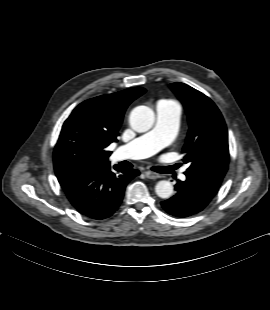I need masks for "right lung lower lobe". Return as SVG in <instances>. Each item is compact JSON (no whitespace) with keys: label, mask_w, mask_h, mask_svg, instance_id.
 Segmentation results:
<instances>
[{"label":"right lung lower lobe","mask_w":270,"mask_h":310,"mask_svg":"<svg viewBox=\"0 0 270 310\" xmlns=\"http://www.w3.org/2000/svg\"><path fill=\"white\" fill-rule=\"evenodd\" d=\"M110 165L57 176L72 206L82 215L102 220L118 209L126 185L140 173L136 169Z\"/></svg>","instance_id":"right-lung-lower-lobe-1"}]
</instances>
